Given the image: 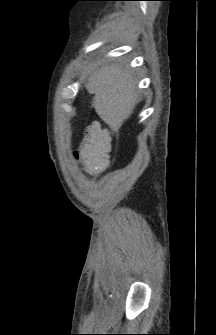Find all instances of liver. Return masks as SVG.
<instances>
[{
    "label": "liver",
    "mask_w": 216,
    "mask_h": 335,
    "mask_svg": "<svg viewBox=\"0 0 216 335\" xmlns=\"http://www.w3.org/2000/svg\"><path fill=\"white\" fill-rule=\"evenodd\" d=\"M136 85L131 71L121 65H104L89 78L88 90L94 94L93 106L101 119L115 130L140 102Z\"/></svg>",
    "instance_id": "6515ba94"
}]
</instances>
